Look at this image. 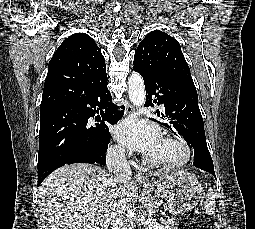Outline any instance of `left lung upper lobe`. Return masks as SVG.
I'll return each mask as SVG.
<instances>
[{"label": "left lung upper lobe", "instance_id": "left-lung-upper-lobe-1", "mask_svg": "<svg viewBox=\"0 0 255 229\" xmlns=\"http://www.w3.org/2000/svg\"><path fill=\"white\" fill-rule=\"evenodd\" d=\"M133 65L143 73L172 75L194 84L180 44L159 30L150 32L140 42ZM180 135L190 143L188 136Z\"/></svg>", "mask_w": 255, "mask_h": 229}]
</instances>
